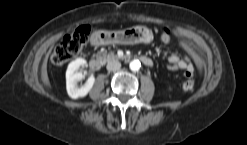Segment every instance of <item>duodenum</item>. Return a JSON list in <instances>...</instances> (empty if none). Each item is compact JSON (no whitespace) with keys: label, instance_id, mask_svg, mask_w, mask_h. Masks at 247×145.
Listing matches in <instances>:
<instances>
[{"label":"duodenum","instance_id":"duodenum-1","mask_svg":"<svg viewBox=\"0 0 247 145\" xmlns=\"http://www.w3.org/2000/svg\"><path fill=\"white\" fill-rule=\"evenodd\" d=\"M103 37V36H102ZM102 37L98 36V35H93L92 37V44L93 45H100L101 44V40ZM138 59L147 67H152L153 66V61L151 58L147 57V56H139ZM90 67L93 70H99L102 67V62L100 59H91L90 60Z\"/></svg>","mask_w":247,"mask_h":145}]
</instances>
